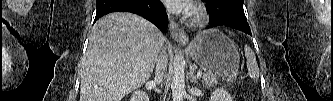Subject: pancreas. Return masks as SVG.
I'll return each mask as SVG.
<instances>
[{
	"label": "pancreas",
	"mask_w": 333,
	"mask_h": 101,
	"mask_svg": "<svg viewBox=\"0 0 333 101\" xmlns=\"http://www.w3.org/2000/svg\"><path fill=\"white\" fill-rule=\"evenodd\" d=\"M202 80H203V84H205V87L213 86V84L215 82L214 78L208 74L203 75Z\"/></svg>",
	"instance_id": "cf45deb5"
}]
</instances>
